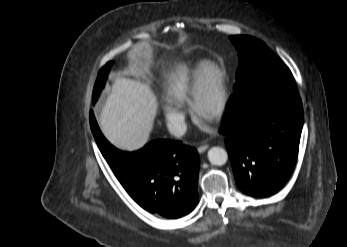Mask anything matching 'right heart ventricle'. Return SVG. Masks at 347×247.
<instances>
[{
  "mask_svg": "<svg viewBox=\"0 0 347 247\" xmlns=\"http://www.w3.org/2000/svg\"><path fill=\"white\" fill-rule=\"evenodd\" d=\"M208 64L209 62H200L196 65L184 64L177 67L166 87L168 102L178 105L186 103L196 78Z\"/></svg>",
  "mask_w": 347,
  "mask_h": 247,
  "instance_id": "1",
  "label": "right heart ventricle"
}]
</instances>
